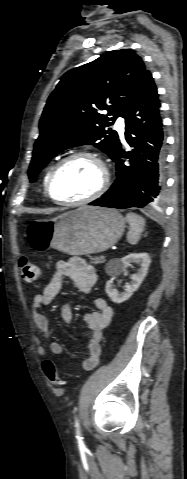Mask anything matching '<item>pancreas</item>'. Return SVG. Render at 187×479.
Listing matches in <instances>:
<instances>
[{
	"label": "pancreas",
	"instance_id": "pancreas-1",
	"mask_svg": "<svg viewBox=\"0 0 187 479\" xmlns=\"http://www.w3.org/2000/svg\"><path fill=\"white\" fill-rule=\"evenodd\" d=\"M91 260H92V263H93L94 265H97V264H100V263H104V262H105V260L102 259V258L99 257V256H95V257L91 258Z\"/></svg>",
	"mask_w": 187,
	"mask_h": 479
}]
</instances>
